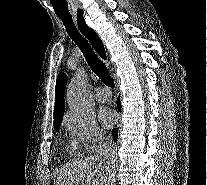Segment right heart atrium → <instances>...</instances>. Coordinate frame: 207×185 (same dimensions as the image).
I'll list each match as a JSON object with an SVG mask.
<instances>
[{
  "mask_svg": "<svg viewBox=\"0 0 207 185\" xmlns=\"http://www.w3.org/2000/svg\"><path fill=\"white\" fill-rule=\"evenodd\" d=\"M63 125L72 139L89 152L97 151L106 140L105 131L91 112L68 111L63 117Z\"/></svg>",
  "mask_w": 207,
  "mask_h": 185,
  "instance_id": "obj_1",
  "label": "right heart atrium"
}]
</instances>
